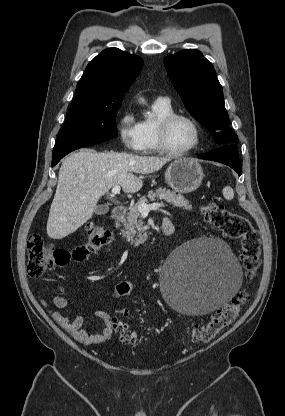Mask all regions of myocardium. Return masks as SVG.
Returning <instances> with one entry per match:
<instances>
[{"label":"myocardium","instance_id":"myocardium-1","mask_svg":"<svg viewBox=\"0 0 285 416\" xmlns=\"http://www.w3.org/2000/svg\"><path fill=\"white\" fill-rule=\"evenodd\" d=\"M177 119H185L187 120L193 127L195 132V142L194 144L183 151H176L174 150L168 142V132L172 123ZM157 142L160 151L163 153L173 156V157H183L188 156L195 152L200 144H201V130L198 122L188 114L184 113H171L163 118H161L157 123Z\"/></svg>","mask_w":285,"mask_h":416}]
</instances>
